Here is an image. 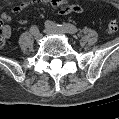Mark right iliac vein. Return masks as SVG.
Here are the masks:
<instances>
[{"label": "right iliac vein", "mask_w": 119, "mask_h": 119, "mask_svg": "<svg viewBox=\"0 0 119 119\" xmlns=\"http://www.w3.org/2000/svg\"><path fill=\"white\" fill-rule=\"evenodd\" d=\"M33 36H34V38H35L36 40H38V39H40V38L42 37V34H41L39 31H37V32H35V33L33 34Z\"/></svg>", "instance_id": "63e3f726"}]
</instances>
